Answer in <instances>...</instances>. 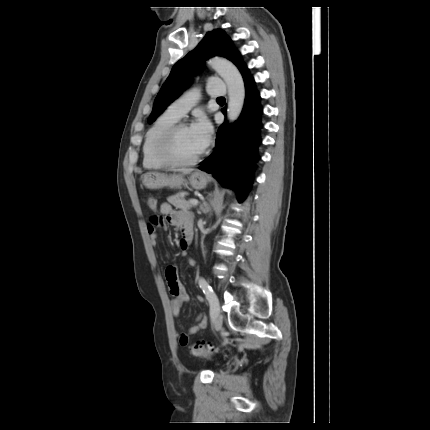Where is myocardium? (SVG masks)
<instances>
[{"instance_id":"myocardium-1","label":"myocardium","mask_w":430,"mask_h":430,"mask_svg":"<svg viewBox=\"0 0 430 430\" xmlns=\"http://www.w3.org/2000/svg\"><path fill=\"white\" fill-rule=\"evenodd\" d=\"M189 126L185 122H176L170 126L158 139L155 152L156 155L170 166H190L198 163L204 156V151L190 159L179 158L175 153V140L178 132Z\"/></svg>"}]
</instances>
